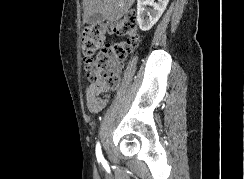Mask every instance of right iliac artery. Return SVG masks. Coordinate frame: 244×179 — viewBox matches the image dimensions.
Listing matches in <instances>:
<instances>
[{
  "label": "right iliac artery",
  "instance_id": "1",
  "mask_svg": "<svg viewBox=\"0 0 244 179\" xmlns=\"http://www.w3.org/2000/svg\"><path fill=\"white\" fill-rule=\"evenodd\" d=\"M96 156H97V159L99 161H103L104 160V157H103L102 151H101V146H100L99 142L97 143V146H96Z\"/></svg>",
  "mask_w": 244,
  "mask_h": 179
}]
</instances>
